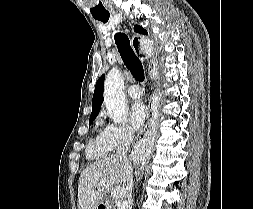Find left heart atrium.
<instances>
[{
	"label": "left heart atrium",
	"mask_w": 253,
	"mask_h": 209,
	"mask_svg": "<svg viewBox=\"0 0 253 209\" xmlns=\"http://www.w3.org/2000/svg\"><path fill=\"white\" fill-rule=\"evenodd\" d=\"M148 116L147 108L143 103H135L129 114V122L134 130L140 129Z\"/></svg>",
	"instance_id": "1"
}]
</instances>
